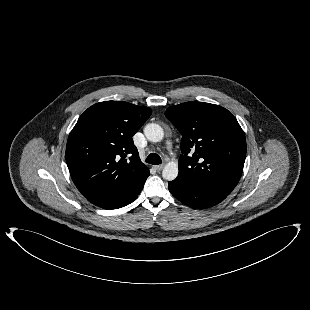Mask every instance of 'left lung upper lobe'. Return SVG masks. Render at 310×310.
Here are the masks:
<instances>
[{"mask_svg":"<svg viewBox=\"0 0 310 310\" xmlns=\"http://www.w3.org/2000/svg\"><path fill=\"white\" fill-rule=\"evenodd\" d=\"M165 116L182 134L177 178L230 194L241 177L247 149L236 118L219 105L193 101L169 107Z\"/></svg>","mask_w":310,"mask_h":310,"instance_id":"1","label":"left lung upper lobe"}]
</instances>
